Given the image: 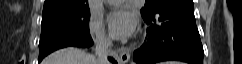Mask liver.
<instances>
[{"label": "liver", "instance_id": "obj_1", "mask_svg": "<svg viewBox=\"0 0 242 64\" xmlns=\"http://www.w3.org/2000/svg\"><path fill=\"white\" fill-rule=\"evenodd\" d=\"M42 64H98V61L79 49L65 48L47 56Z\"/></svg>", "mask_w": 242, "mask_h": 64}]
</instances>
